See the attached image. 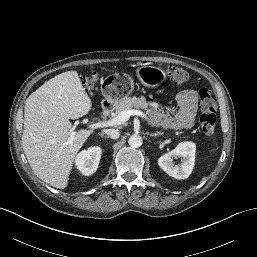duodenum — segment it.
<instances>
[{
	"label": "duodenum",
	"mask_w": 257,
	"mask_h": 257,
	"mask_svg": "<svg viewBox=\"0 0 257 257\" xmlns=\"http://www.w3.org/2000/svg\"><path fill=\"white\" fill-rule=\"evenodd\" d=\"M112 103H110V102H106L104 105H103V107H102V114L104 115V116H107L110 112H111V110H112Z\"/></svg>",
	"instance_id": "1"
}]
</instances>
